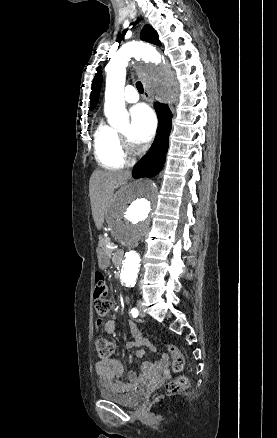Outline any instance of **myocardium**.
Wrapping results in <instances>:
<instances>
[{"label": "myocardium", "mask_w": 277, "mask_h": 438, "mask_svg": "<svg viewBox=\"0 0 277 438\" xmlns=\"http://www.w3.org/2000/svg\"><path fill=\"white\" fill-rule=\"evenodd\" d=\"M120 138H121V141L125 144L126 148L130 150L132 148V144H131L128 136H126L124 134H120Z\"/></svg>", "instance_id": "1"}]
</instances>
